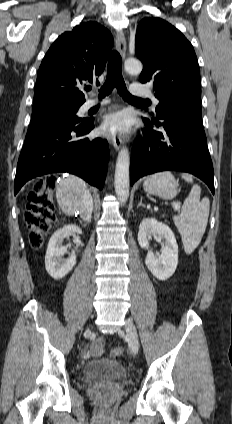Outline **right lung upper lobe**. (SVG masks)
I'll list each match as a JSON object with an SVG mask.
<instances>
[{"instance_id":"cb5924a9","label":"right lung upper lobe","mask_w":232,"mask_h":424,"mask_svg":"<svg viewBox=\"0 0 232 424\" xmlns=\"http://www.w3.org/2000/svg\"><path fill=\"white\" fill-rule=\"evenodd\" d=\"M112 46L109 30L92 21L59 36L40 65L33 108L82 105L83 83L93 82L103 72Z\"/></svg>"}]
</instances>
